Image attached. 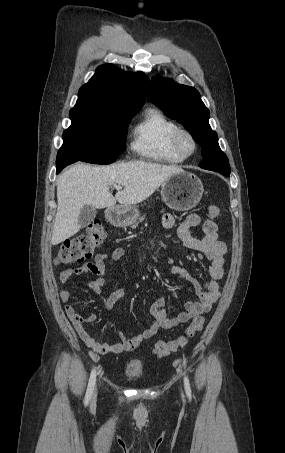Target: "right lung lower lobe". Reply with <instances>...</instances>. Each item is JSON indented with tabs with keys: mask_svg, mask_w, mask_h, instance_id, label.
I'll return each mask as SVG.
<instances>
[{
	"mask_svg": "<svg viewBox=\"0 0 285 453\" xmlns=\"http://www.w3.org/2000/svg\"><path fill=\"white\" fill-rule=\"evenodd\" d=\"M74 163L72 159L69 157H60L57 155L56 159V173H59L64 167H66L69 164Z\"/></svg>",
	"mask_w": 285,
	"mask_h": 453,
	"instance_id": "1",
	"label": "right lung lower lobe"
}]
</instances>
